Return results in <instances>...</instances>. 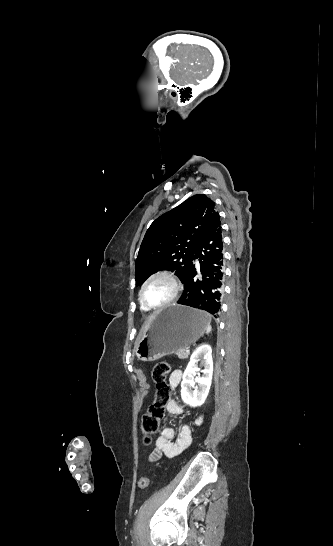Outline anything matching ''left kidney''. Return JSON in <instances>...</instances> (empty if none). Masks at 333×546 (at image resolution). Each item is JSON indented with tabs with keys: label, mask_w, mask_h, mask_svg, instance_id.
<instances>
[{
	"label": "left kidney",
	"mask_w": 333,
	"mask_h": 546,
	"mask_svg": "<svg viewBox=\"0 0 333 546\" xmlns=\"http://www.w3.org/2000/svg\"><path fill=\"white\" fill-rule=\"evenodd\" d=\"M202 360L204 369L198 368V362ZM200 372L203 374L200 375ZM198 375V376H196ZM213 375L212 349L207 344L200 345L191 355L188 366L183 374L181 382V398L184 403L191 407L202 405L208 395ZM196 378L194 379V377ZM194 380L198 383L195 390H192Z\"/></svg>",
	"instance_id": "obj_1"
}]
</instances>
